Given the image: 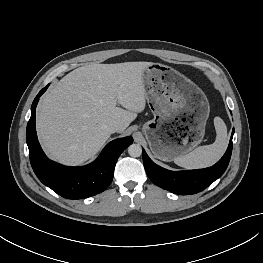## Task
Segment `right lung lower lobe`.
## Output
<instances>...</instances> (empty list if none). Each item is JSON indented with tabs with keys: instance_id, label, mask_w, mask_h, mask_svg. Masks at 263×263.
<instances>
[{
	"instance_id": "1",
	"label": "right lung lower lobe",
	"mask_w": 263,
	"mask_h": 263,
	"mask_svg": "<svg viewBox=\"0 0 263 263\" xmlns=\"http://www.w3.org/2000/svg\"><path fill=\"white\" fill-rule=\"evenodd\" d=\"M47 87L34 99L26 129L30 162L36 176L44 185L67 199H83L103 192L112 182L117 159L132 144V137L111 141L100 156L86 166L68 167L49 160L41 149L35 128L36 106Z\"/></svg>"
}]
</instances>
